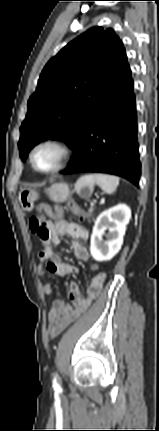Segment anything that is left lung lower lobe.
Segmentation results:
<instances>
[{
	"label": "left lung lower lobe",
	"mask_w": 159,
	"mask_h": 431,
	"mask_svg": "<svg viewBox=\"0 0 159 431\" xmlns=\"http://www.w3.org/2000/svg\"><path fill=\"white\" fill-rule=\"evenodd\" d=\"M63 174L100 172L139 186L141 163L131 71L84 127Z\"/></svg>",
	"instance_id": "obj_1"
}]
</instances>
